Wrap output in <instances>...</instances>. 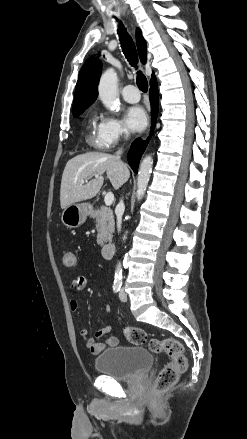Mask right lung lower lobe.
<instances>
[{
	"mask_svg": "<svg viewBox=\"0 0 247 439\" xmlns=\"http://www.w3.org/2000/svg\"><path fill=\"white\" fill-rule=\"evenodd\" d=\"M150 102H151V115H152V130L155 127L157 114H158V90H157V81L156 79L151 81L150 83ZM148 144V140L142 141V139H136L128 152L127 159L130 167L133 169L135 173L138 171V165L140 158L146 149Z\"/></svg>",
	"mask_w": 247,
	"mask_h": 439,
	"instance_id": "right-lung-lower-lobe-1",
	"label": "right lung lower lobe"
}]
</instances>
